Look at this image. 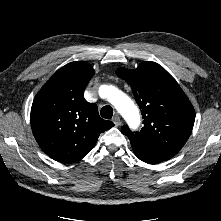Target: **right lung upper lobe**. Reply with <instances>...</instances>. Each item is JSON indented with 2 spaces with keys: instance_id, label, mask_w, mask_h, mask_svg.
<instances>
[{
  "instance_id": "cb5924a9",
  "label": "right lung upper lobe",
  "mask_w": 221,
  "mask_h": 221,
  "mask_svg": "<svg viewBox=\"0 0 221 221\" xmlns=\"http://www.w3.org/2000/svg\"><path fill=\"white\" fill-rule=\"evenodd\" d=\"M93 75L89 63L71 62L55 72L34 98L33 135L40 148L58 162L79 161L93 149L100 133L114 126L100 118L96 104L84 99Z\"/></svg>"
}]
</instances>
